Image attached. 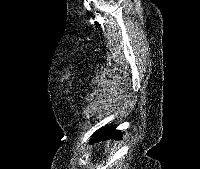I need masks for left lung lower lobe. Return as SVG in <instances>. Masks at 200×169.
I'll return each instance as SVG.
<instances>
[{
  "label": "left lung lower lobe",
  "mask_w": 200,
  "mask_h": 169,
  "mask_svg": "<svg viewBox=\"0 0 200 169\" xmlns=\"http://www.w3.org/2000/svg\"><path fill=\"white\" fill-rule=\"evenodd\" d=\"M121 136L122 134L119 130H115L113 127L105 126L93 134L92 143L110 138L119 139Z\"/></svg>",
  "instance_id": "0a47b994"
}]
</instances>
